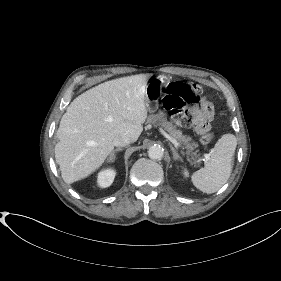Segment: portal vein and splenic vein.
<instances>
[{
	"mask_svg": "<svg viewBox=\"0 0 281 281\" xmlns=\"http://www.w3.org/2000/svg\"><path fill=\"white\" fill-rule=\"evenodd\" d=\"M160 132L161 134H163V136H165L176 148L181 147V145L171 136L169 135L167 132H165L163 129L160 128ZM209 154H204L205 157V161L209 160Z\"/></svg>",
	"mask_w": 281,
	"mask_h": 281,
	"instance_id": "portal-vein-and-splenic-vein-1",
	"label": "portal vein and splenic vein"
}]
</instances>
